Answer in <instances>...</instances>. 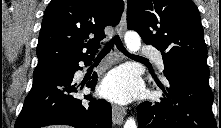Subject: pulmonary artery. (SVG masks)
I'll return each instance as SVG.
<instances>
[{"instance_id": "e3ab8cb5", "label": "pulmonary artery", "mask_w": 221, "mask_h": 128, "mask_svg": "<svg viewBox=\"0 0 221 128\" xmlns=\"http://www.w3.org/2000/svg\"><path fill=\"white\" fill-rule=\"evenodd\" d=\"M142 57L146 58H153L156 63L157 66L163 70L164 69V63H163V59L162 56L153 48L147 49L145 51L142 52Z\"/></svg>"}]
</instances>
